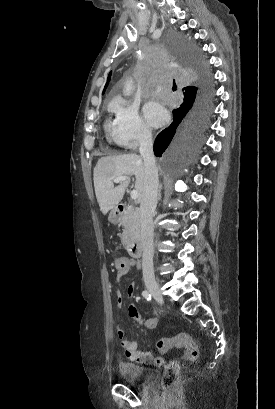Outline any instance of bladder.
I'll use <instances>...</instances> for the list:
<instances>
[{"label":"bladder","instance_id":"bladder-1","mask_svg":"<svg viewBox=\"0 0 275 409\" xmlns=\"http://www.w3.org/2000/svg\"><path fill=\"white\" fill-rule=\"evenodd\" d=\"M120 379L127 385L141 389V383L153 380V368H146L131 361H123L118 364Z\"/></svg>","mask_w":275,"mask_h":409}]
</instances>
